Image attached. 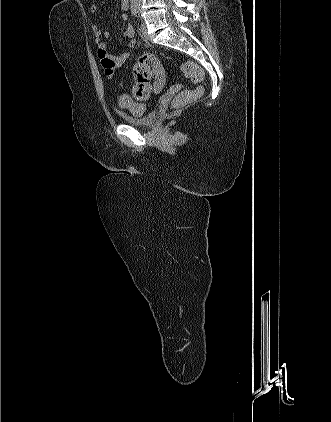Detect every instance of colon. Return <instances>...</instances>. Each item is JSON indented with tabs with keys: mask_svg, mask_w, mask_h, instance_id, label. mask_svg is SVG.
<instances>
[{
	"mask_svg": "<svg viewBox=\"0 0 331 422\" xmlns=\"http://www.w3.org/2000/svg\"><path fill=\"white\" fill-rule=\"evenodd\" d=\"M182 71L196 84L203 80V70L194 62L185 63L182 66ZM133 76L135 84L132 95L134 100L128 94H122L119 103L121 107L130 110L133 114L140 115L145 111L144 102L151 92L160 89L165 77V69L155 55L145 54L133 66ZM153 80L156 82L153 83ZM202 93L203 89L199 85L194 89L183 91L176 96L173 107L175 109L182 108L199 99Z\"/></svg>",
	"mask_w": 331,
	"mask_h": 422,
	"instance_id": "colon-1",
	"label": "colon"
}]
</instances>
